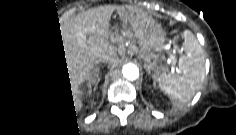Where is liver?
Instances as JSON below:
<instances>
[{
	"label": "liver",
	"instance_id": "6515ba94",
	"mask_svg": "<svg viewBox=\"0 0 236 135\" xmlns=\"http://www.w3.org/2000/svg\"><path fill=\"white\" fill-rule=\"evenodd\" d=\"M119 7L116 5L99 6L79 13L76 17L61 24V35L76 111L83 106L80 100L82 91L79 87L88 81L86 85L89 88L94 66L100 62L111 66L119 63L118 48L114 45L116 39L110 28L111 16ZM153 22L146 14L138 12L135 17H132L131 28L138 33ZM126 43L129 44L131 50L135 49V46H130L129 41ZM98 60L101 61L97 63Z\"/></svg>",
	"mask_w": 236,
	"mask_h": 135
}]
</instances>
